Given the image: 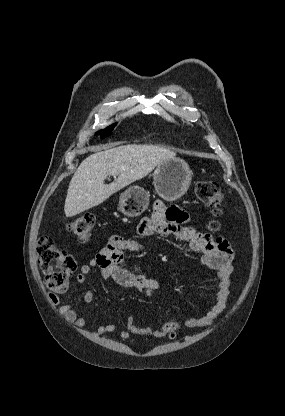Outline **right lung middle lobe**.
<instances>
[{
    "label": "right lung middle lobe",
    "instance_id": "dd1d6c3e",
    "mask_svg": "<svg viewBox=\"0 0 285 416\" xmlns=\"http://www.w3.org/2000/svg\"><path fill=\"white\" fill-rule=\"evenodd\" d=\"M114 126H115V124H113V125H111V126H109V127L105 128L104 130H100V131H98V132L96 133V135H100V137H101L102 139H103V138H106V137H108V136H110V135L112 134V130H113Z\"/></svg>",
    "mask_w": 285,
    "mask_h": 416
}]
</instances>
